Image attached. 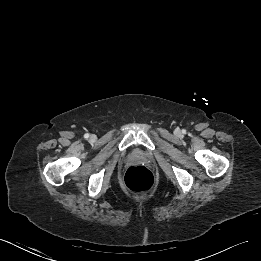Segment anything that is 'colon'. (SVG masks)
<instances>
[{"instance_id": "5ec220e1", "label": "colon", "mask_w": 261, "mask_h": 261, "mask_svg": "<svg viewBox=\"0 0 261 261\" xmlns=\"http://www.w3.org/2000/svg\"><path fill=\"white\" fill-rule=\"evenodd\" d=\"M154 184V176L152 172L144 166L130 167L124 177L123 186L131 193L146 192Z\"/></svg>"}]
</instances>
